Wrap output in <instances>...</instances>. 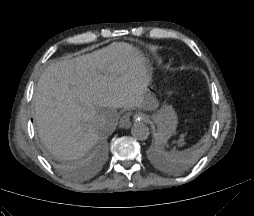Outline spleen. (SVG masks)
Wrapping results in <instances>:
<instances>
[{
	"label": "spleen",
	"instance_id": "1",
	"mask_svg": "<svg viewBox=\"0 0 254 216\" xmlns=\"http://www.w3.org/2000/svg\"><path fill=\"white\" fill-rule=\"evenodd\" d=\"M166 156H167L169 159H172V158L175 156V153H174V152H170L169 154H166Z\"/></svg>",
	"mask_w": 254,
	"mask_h": 216
}]
</instances>
